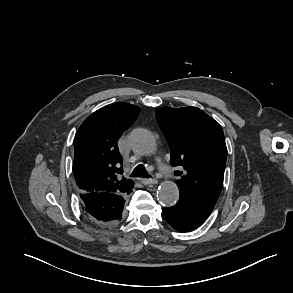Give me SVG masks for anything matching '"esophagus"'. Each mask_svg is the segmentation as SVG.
Here are the masks:
<instances>
[{
    "label": "esophagus",
    "instance_id": "34e87169",
    "mask_svg": "<svg viewBox=\"0 0 293 293\" xmlns=\"http://www.w3.org/2000/svg\"><path fill=\"white\" fill-rule=\"evenodd\" d=\"M140 182L144 185H149V184H157L158 181L155 178H150V179H146V178H141Z\"/></svg>",
    "mask_w": 293,
    "mask_h": 293
}]
</instances>
